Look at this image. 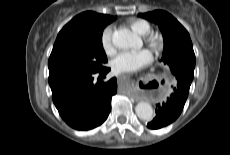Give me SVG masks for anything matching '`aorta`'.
I'll return each instance as SVG.
<instances>
[{"instance_id": "obj_1", "label": "aorta", "mask_w": 230, "mask_h": 155, "mask_svg": "<svg viewBox=\"0 0 230 155\" xmlns=\"http://www.w3.org/2000/svg\"><path fill=\"white\" fill-rule=\"evenodd\" d=\"M112 42L114 46L120 49H129L134 46H141V39L132 31L122 28L114 31L112 35ZM135 112L140 120L151 121L154 117V110L152 106L145 101H140L136 107Z\"/></svg>"}]
</instances>
